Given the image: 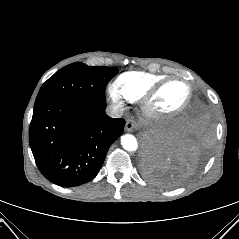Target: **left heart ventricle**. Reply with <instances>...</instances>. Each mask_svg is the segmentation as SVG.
Listing matches in <instances>:
<instances>
[{"label":"left heart ventricle","instance_id":"1","mask_svg":"<svg viewBox=\"0 0 239 239\" xmlns=\"http://www.w3.org/2000/svg\"><path fill=\"white\" fill-rule=\"evenodd\" d=\"M187 96L184 83L175 82L168 85L155 99L153 106L157 110L172 111L179 107Z\"/></svg>","mask_w":239,"mask_h":239}]
</instances>
